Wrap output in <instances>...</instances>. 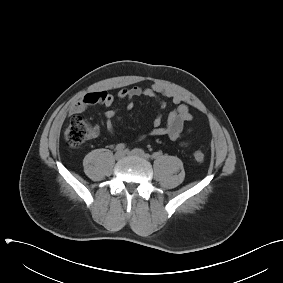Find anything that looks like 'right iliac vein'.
<instances>
[{"label":"right iliac vein","mask_w":283,"mask_h":283,"mask_svg":"<svg viewBox=\"0 0 283 283\" xmlns=\"http://www.w3.org/2000/svg\"><path fill=\"white\" fill-rule=\"evenodd\" d=\"M125 156V153L123 151H117L114 155L116 160H120Z\"/></svg>","instance_id":"right-iliac-vein-1"}]
</instances>
